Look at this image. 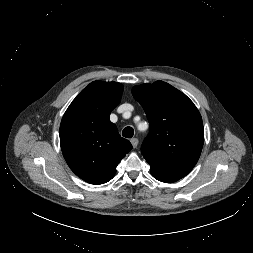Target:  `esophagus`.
<instances>
[{"label":"esophagus","instance_id":"esophagus-1","mask_svg":"<svg viewBox=\"0 0 253 253\" xmlns=\"http://www.w3.org/2000/svg\"><path fill=\"white\" fill-rule=\"evenodd\" d=\"M130 142H131L133 148H136V147H137V145H138V139H137V138H132V139L130 140Z\"/></svg>","mask_w":253,"mask_h":253}]
</instances>
